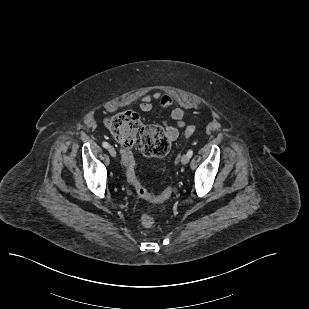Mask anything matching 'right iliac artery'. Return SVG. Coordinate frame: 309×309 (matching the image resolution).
Wrapping results in <instances>:
<instances>
[{
	"mask_svg": "<svg viewBox=\"0 0 309 309\" xmlns=\"http://www.w3.org/2000/svg\"><path fill=\"white\" fill-rule=\"evenodd\" d=\"M102 145H103V147L106 148V149H108V148L110 147L109 144H108L107 142H103Z\"/></svg>",
	"mask_w": 309,
	"mask_h": 309,
	"instance_id": "obj_1",
	"label": "right iliac artery"
}]
</instances>
